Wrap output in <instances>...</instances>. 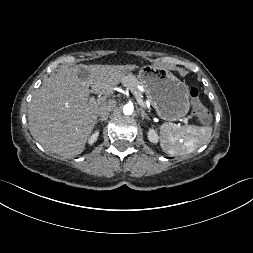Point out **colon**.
I'll use <instances>...</instances> for the list:
<instances>
[{"label": "colon", "instance_id": "obj_1", "mask_svg": "<svg viewBox=\"0 0 253 253\" xmlns=\"http://www.w3.org/2000/svg\"><path fill=\"white\" fill-rule=\"evenodd\" d=\"M189 96L191 105L193 107V113L200 122H209L211 114L209 110L203 105L200 100L199 90L196 87H192L189 90Z\"/></svg>", "mask_w": 253, "mask_h": 253}]
</instances>
